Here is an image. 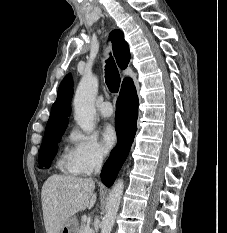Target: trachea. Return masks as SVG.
Instances as JSON below:
<instances>
[{"label":"trachea","instance_id":"obj_1","mask_svg":"<svg viewBox=\"0 0 227 233\" xmlns=\"http://www.w3.org/2000/svg\"><path fill=\"white\" fill-rule=\"evenodd\" d=\"M105 81L110 92L117 93L120 86V74L112 56L107 60L105 66Z\"/></svg>","mask_w":227,"mask_h":233}]
</instances>
